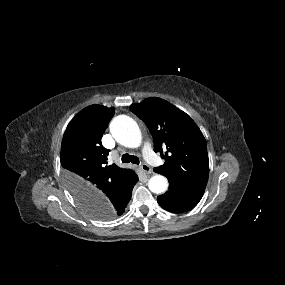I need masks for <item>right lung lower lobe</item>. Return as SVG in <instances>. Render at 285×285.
Wrapping results in <instances>:
<instances>
[{"instance_id": "1", "label": "right lung lower lobe", "mask_w": 285, "mask_h": 285, "mask_svg": "<svg viewBox=\"0 0 285 285\" xmlns=\"http://www.w3.org/2000/svg\"><path fill=\"white\" fill-rule=\"evenodd\" d=\"M137 181L138 176L133 172L123 185L118 186L112 192H107L106 196H100L91 200L88 206L94 208L106 207L114 215H122L131 199L132 189Z\"/></svg>"}]
</instances>
